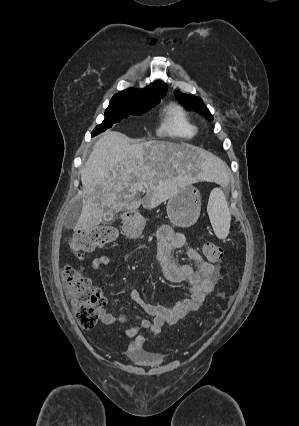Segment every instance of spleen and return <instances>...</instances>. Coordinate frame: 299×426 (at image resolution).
<instances>
[{
	"label": "spleen",
	"mask_w": 299,
	"mask_h": 426,
	"mask_svg": "<svg viewBox=\"0 0 299 426\" xmlns=\"http://www.w3.org/2000/svg\"><path fill=\"white\" fill-rule=\"evenodd\" d=\"M207 212L216 236L219 239H225L230 230L231 214L226 197L220 188L212 190L208 201Z\"/></svg>",
	"instance_id": "3e777b00"
}]
</instances>
